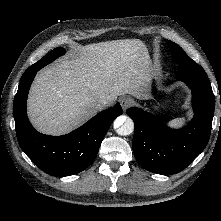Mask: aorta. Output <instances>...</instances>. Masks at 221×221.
Masks as SVG:
<instances>
[{"instance_id":"obj_1","label":"aorta","mask_w":221,"mask_h":221,"mask_svg":"<svg viewBox=\"0 0 221 221\" xmlns=\"http://www.w3.org/2000/svg\"><path fill=\"white\" fill-rule=\"evenodd\" d=\"M114 129L119 135L128 136L134 131V122L130 117L119 116L114 121Z\"/></svg>"}]
</instances>
